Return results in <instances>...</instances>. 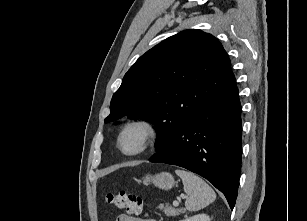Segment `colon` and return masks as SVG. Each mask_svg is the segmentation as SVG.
I'll list each match as a JSON object with an SVG mask.
<instances>
[{
	"label": "colon",
	"instance_id": "1",
	"mask_svg": "<svg viewBox=\"0 0 307 221\" xmlns=\"http://www.w3.org/2000/svg\"><path fill=\"white\" fill-rule=\"evenodd\" d=\"M106 199L113 207L126 210L130 214H140L144 208V201L141 197L125 191L108 193Z\"/></svg>",
	"mask_w": 307,
	"mask_h": 221
}]
</instances>
